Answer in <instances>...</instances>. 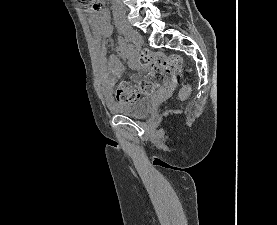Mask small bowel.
<instances>
[{
	"label": "small bowel",
	"mask_w": 277,
	"mask_h": 225,
	"mask_svg": "<svg viewBox=\"0 0 277 225\" xmlns=\"http://www.w3.org/2000/svg\"><path fill=\"white\" fill-rule=\"evenodd\" d=\"M89 19L94 32L93 49L101 69V84L103 88L110 86L115 78L123 72L125 59L129 60V64L133 69L139 70L140 66L134 60L133 53L121 38L118 39L116 47L117 55L106 58V47L102 43L101 38L109 36L113 30L108 11L105 8H101L98 12H91ZM173 83L174 79L167 81V84Z\"/></svg>",
	"instance_id": "c3829d8e"
}]
</instances>
